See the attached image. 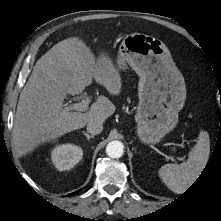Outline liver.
<instances>
[{
  "instance_id": "1",
  "label": "liver",
  "mask_w": 221,
  "mask_h": 221,
  "mask_svg": "<svg viewBox=\"0 0 221 221\" xmlns=\"http://www.w3.org/2000/svg\"><path fill=\"white\" fill-rule=\"evenodd\" d=\"M93 78L111 95L120 94L122 80L112 60L106 54L96 59L78 37L55 44L36 62L15 114L13 140L20 155L92 120L103 123L115 112V105L105 96H98L85 113L65 107L66 96L81 94Z\"/></svg>"
}]
</instances>
